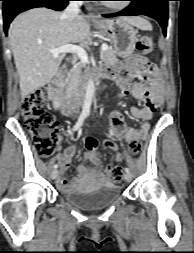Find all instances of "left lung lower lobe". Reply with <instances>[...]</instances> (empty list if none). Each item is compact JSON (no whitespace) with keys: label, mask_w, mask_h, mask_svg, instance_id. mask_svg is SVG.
Wrapping results in <instances>:
<instances>
[{"label":"left lung lower lobe","mask_w":194,"mask_h":253,"mask_svg":"<svg viewBox=\"0 0 194 253\" xmlns=\"http://www.w3.org/2000/svg\"><path fill=\"white\" fill-rule=\"evenodd\" d=\"M131 4L124 10L113 13L103 14L104 17L146 15L157 20L162 26L166 36L168 23V1L170 0H128Z\"/></svg>","instance_id":"obj_1"}]
</instances>
